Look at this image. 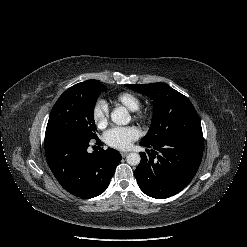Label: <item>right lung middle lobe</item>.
Wrapping results in <instances>:
<instances>
[{"label":"right lung middle lobe","mask_w":247,"mask_h":247,"mask_svg":"<svg viewBox=\"0 0 247 247\" xmlns=\"http://www.w3.org/2000/svg\"><path fill=\"white\" fill-rule=\"evenodd\" d=\"M105 89L98 80L67 89L52 108L45 138L55 135H73L85 140L98 138L93 110L99 94Z\"/></svg>","instance_id":"1"}]
</instances>
